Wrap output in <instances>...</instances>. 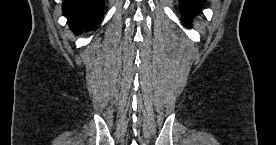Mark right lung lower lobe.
Masks as SVG:
<instances>
[{
    "label": "right lung lower lobe",
    "mask_w": 276,
    "mask_h": 145,
    "mask_svg": "<svg viewBox=\"0 0 276 145\" xmlns=\"http://www.w3.org/2000/svg\"><path fill=\"white\" fill-rule=\"evenodd\" d=\"M63 12L68 19L70 29L76 34L96 28L100 23L103 0H64Z\"/></svg>",
    "instance_id": "obj_1"
}]
</instances>
